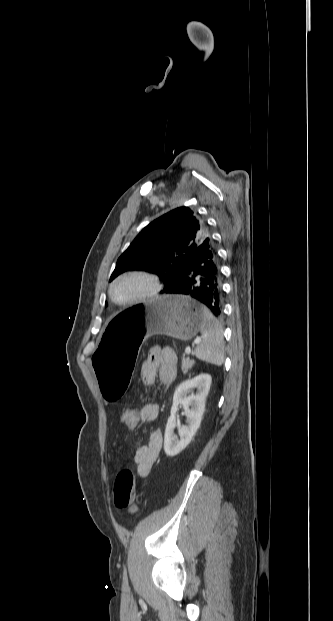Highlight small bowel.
Wrapping results in <instances>:
<instances>
[{"label": "small bowel", "mask_w": 333, "mask_h": 621, "mask_svg": "<svg viewBox=\"0 0 333 621\" xmlns=\"http://www.w3.org/2000/svg\"><path fill=\"white\" fill-rule=\"evenodd\" d=\"M177 374V355L171 348L154 347L150 349L141 369L144 384H152L156 377L162 384L169 386ZM158 415L155 404H147L140 409V423L153 421ZM138 425V426H139ZM137 426V427H138ZM136 427V428H137ZM134 428V429H136ZM163 443L162 433L153 431L145 444H138L134 454L135 472L140 477H147L160 453Z\"/></svg>", "instance_id": "obj_1"}]
</instances>
